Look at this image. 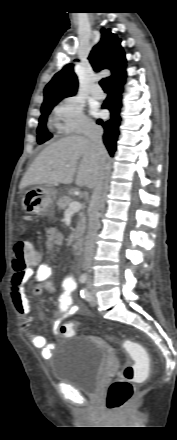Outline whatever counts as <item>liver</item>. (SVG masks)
Wrapping results in <instances>:
<instances>
[{
	"label": "liver",
	"instance_id": "1",
	"mask_svg": "<svg viewBox=\"0 0 177 440\" xmlns=\"http://www.w3.org/2000/svg\"><path fill=\"white\" fill-rule=\"evenodd\" d=\"M107 151L100 156L89 139L82 136L63 138L46 147L23 176L20 189L30 185L71 184L76 174L77 186L94 188Z\"/></svg>",
	"mask_w": 177,
	"mask_h": 440
}]
</instances>
